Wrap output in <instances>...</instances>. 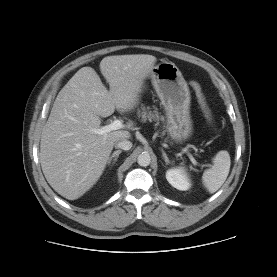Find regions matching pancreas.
Returning a JSON list of instances; mask_svg holds the SVG:
<instances>
[{
	"instance_id": "cf45deb5",
	"label": "pancreas",
	"mask_w": 277,
	"mask_h": 277,
	"mask_svg": "<svg viewBox=\"0 0 277 277\" xmlns=\"http://www.w3.org/2000/svg\"><path fill=\"white\" fill-rule=\"evenodd\" d=\"M154 110H151L149 106H144L143 104L137 109V116L140 119L141 122L145 123L146 121H157L163 120V117L160 116V113L158 112V109L156 107H153ZM164 131L162 132V135H164Z\"/></svg>"
}]
</instances>
